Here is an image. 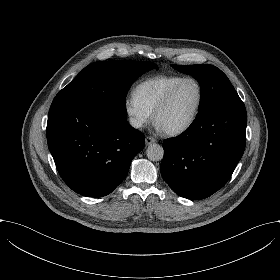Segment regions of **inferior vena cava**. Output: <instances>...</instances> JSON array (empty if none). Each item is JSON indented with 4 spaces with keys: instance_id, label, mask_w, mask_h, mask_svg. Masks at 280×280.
<instances>
[{
    "instance_id": "obj_1",
    "label": "inferior vena cava",
    "mask_w": 280,
    "mask_h": 280,
    "mask_svg": "<svg viewBox=\"0 0 280 280\" xmlns=\"http://www.w3.org/2000/svg\"><path fill=\"white\" fill-rule=\"evenodd\" d=\"M129 122L130 125L134 128H140L144 123V121L141 118H137V117H130Z\"/></svg>"
}]
</instances>
